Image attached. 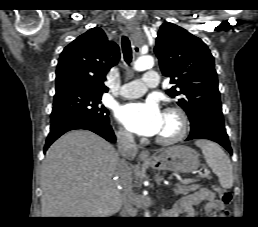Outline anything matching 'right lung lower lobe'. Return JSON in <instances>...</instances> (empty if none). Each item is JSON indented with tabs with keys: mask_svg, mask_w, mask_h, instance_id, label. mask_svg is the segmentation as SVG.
Returning a JSON list of instances; mask_svg holds the SVG:
<instances>
[{
	"mask_svg": "<svg viewBox=\"0 0 258 227\" xmlns=\"http://www.w3.org/2000/svg\"><path fill=\"white\" fill-rule=\"evenodd\" d=\"M74 129L90 130L105 138L109 142H116V137L109 123H96L86 117L72 113H57L51 115L50 133L45 143L44 153L58 137L65 132Z\"/></svg>",
	"mask_w": 258,
	"mask_h": 227,
	"instance_id": "right-lung-lower-lobe-1",
	"label": "right lung lower lobe"
}]
</instances>
